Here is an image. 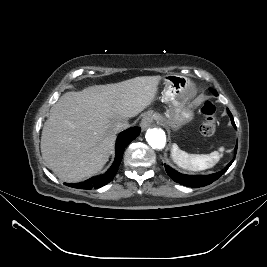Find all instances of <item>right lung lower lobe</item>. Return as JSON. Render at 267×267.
<instances>
[{"label": "right lung lower lobe", "mask_w": 267, "mask_h": 267, "mask_svg": "<svg viewBox=\"0 0 267 267\" xmlns=\"http://www.w3.org/2000/svg\"><path fill=\"white\" fill-rule=\"evenodd\" d=\"M140 127H131L122 133L119 134L116 141V158L113 162L110 169L97 177H93L84 182H80L77 184H66L70 187L79 188V189H92V188H100L110 182L117 173V169L121 163L124 148L140 134Z\"/></svg>", "instance_id": "right-lung-lower-lobe-1"}]
</instances>
